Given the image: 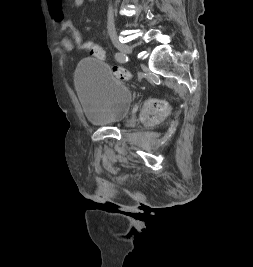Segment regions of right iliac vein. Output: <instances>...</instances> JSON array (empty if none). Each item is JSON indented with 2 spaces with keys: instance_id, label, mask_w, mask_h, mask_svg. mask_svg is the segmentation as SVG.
Masks as SVG:
<instances>
[{
  "instance_id": "63e3f726",
  "label": "right iliac vein",
  "mask_w": 253,
  "mask_h": 267,
  "mask_svg": "<svg viewBox=\"0 0 253 267\" xmlns=\"http://www.w3.org/2000/svg\"><path fill=\"white\" fill-rule=\"evenodd\" d=\"M114 46L122 53L124 54H131L132 53V47L129 46L126 43L120 42L118 39H113L112 40Z\"/></svg>"
}]
</instances>
